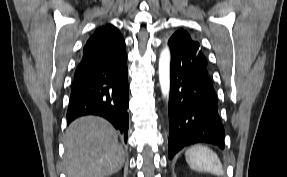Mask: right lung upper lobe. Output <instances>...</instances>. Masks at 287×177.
Wrapping results in <instances>:
<instances>
[{
  "mask_svg": "<svg viewBox=\"0 0 287 177\" xmlns=\"http://www.w3.org/2000/svg\"><path fill=\"white\" fill-rule=\"evenodd\" d=\"M113 29H117V28L111 24H106V25L99 27L97 30H113Z\"/></svg>",
  "mask_w": 287,
  "mask_h": 177,
  "instance_id": "1",
  "label": "right lung upper lobe"
}]
</instances>
